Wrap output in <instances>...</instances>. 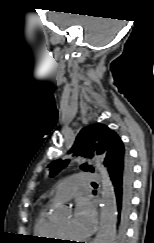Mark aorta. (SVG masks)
Wrapping results in <instances>:
<instances>
[{"mask_svg":"<svg viewBox=\"0 0 154 243\" xmlns=\"http://www.w3.org/2000/svg\"><path fill=\"white\" fill-rule=\"evenodd\" d=\"M102 185V208L100 227L93 243H113L116 232V205L112 182L107 169L97 165Z\"/></svg>","mask_w":154,"mask_h":243,"instance_id":"obj_1","label":"aorta"}]
</instances>
